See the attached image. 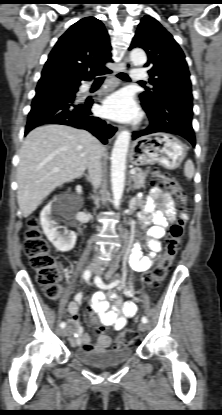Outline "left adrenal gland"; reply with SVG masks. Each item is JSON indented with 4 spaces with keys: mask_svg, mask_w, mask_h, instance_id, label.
<instances>
[{
    "mask_svg": "<svg viewBox=\"0 0 222 415\" xmlns=\"http://www.w3.org/2000/svg\"><path fill=\"white\" fill-rule=\"evenodd\" d=\"M131 181H132V176H129V188H130V189H132V186H131Z\"/></svg>",
    "mask_w": 222,
    "mask_h": 415,
    "instance_id": "left-adrenal-gland-1",
    "label": "left adrenal gland"
}]
</instances>
